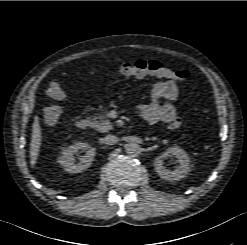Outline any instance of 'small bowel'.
Returning <instances> with one entry per match:
<instances>
[{
    "mask_svg": "<svg viewBox=\"0 0 247 245\" xmlns=\"http://www.w3.org/2000/svg\"><path fill=\"white\" fill-rule=\"evenodd\" d=\"M180 95L179 86L171 80L159 81L153 85L152 100L148 105L137 107L140 116L150 124L170 123L178 118L177 110L172 104Z\"/></svg>",
    "mask_w": 247,
    "mask_h": 245,
    "instance_id": "small-bowel-1",
    "label": "small bowel"
}]
</instances>
